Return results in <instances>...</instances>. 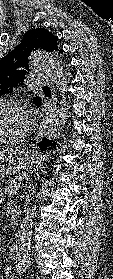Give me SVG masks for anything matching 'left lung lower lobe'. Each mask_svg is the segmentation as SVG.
Wrapping results in <instances>:
<instances>
[{
  "label": "left lung lower lobe",
  "instance_id": "left-lung-lower-lobe-1",
  "mask_svg": "<svg viewBox=\"0 0 113 279\" xmlns=\"http://www.w3.org/2000/svg\"><path fill=\"white\" fill-rule=\"evenodd\" d=\"M41 105V100L36 103V106L39 107ZM39 148L41 150H46V149H50V148H56V142L53 140H47V139H43L40 143H39Z\"/></svg>",
  "mask_w": 113,
  "mask_h": 279
}]
</instances>
